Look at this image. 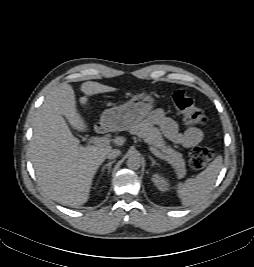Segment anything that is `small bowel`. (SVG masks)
<instances>
[{"instance_id":"c3829d8e","label":"small bowel","mask_w":254,"mask_h":267,"mask_svg":"<svg viewBox=\"0 0 254 267\" xmlns=\"http://www.w3.org/2000/svg\"><path fill=\"white\" fill-rule=\"evenodd\" d=\"M150 120L160 127L170 141L185 148L196 146L203 140V132L199 128L193 127L181 132L176 122L161 110L153 111Z\"/></svg>"}]
</instances>
